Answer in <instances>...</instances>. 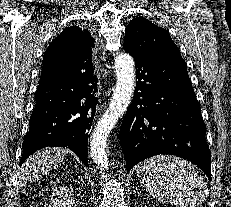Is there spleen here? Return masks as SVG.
Segmentation results:
<instances>
[{"mask_svg": "<svg viewBox=\"0 0 231 207\" xmlns=\"http://www.w3.org/2000/svg\"><path fill=\"white\" fill-rule=\"evenodd\" d=\"M137 175L151 197L169 200L176 207H196L207 196L205 182L195 167L174 156L147 159L139 165Z\"/></svg>", "mask_w": 231, "mask_h": 207, "instance_id": "3e777b00", "label": "spleen"}]
</instances>
